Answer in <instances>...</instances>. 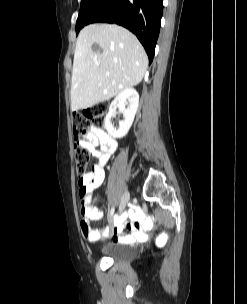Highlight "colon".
Returning <instances> with one entry per match:
<instances>
[{
    "label": "colon",
    "instance_id": "colon-1",
    "mask_svg": "<svg viewBox=\"0 0 247 304\" xmlns=\"http://www.w3.org/2000/svg\"><path fill=\"white\" fill-rule=\"evenodd\" d=\"M108 111V104L106 102L97 103L82 112H76L72 117L73 133L75 136L74 144V161L77 173L81 178L85 175L89 164V152L81 144L82 139L89 133L92 127L102 126L105 116ZM80 202L84 201V189L79 190ZM165 240H170V233H157L155 237V244H164Z\"/></svg>",
    "mask_w": 247,
    "mask_h": 304
}]
</instances>
